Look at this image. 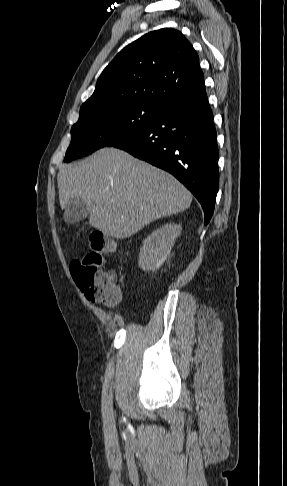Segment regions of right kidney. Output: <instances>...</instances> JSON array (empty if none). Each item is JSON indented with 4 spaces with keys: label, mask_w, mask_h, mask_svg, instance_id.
<instances>
[{
    "label": "right kidney",
    "mask_w": 287,
    "mask_h": 486,
    "mask_svg": "<svg viewBox=\"0 0 287 486\" xmlns=\"http://www.w3.org/2000/svg\"><path fill=\"white\" fill-rule=\"evenodd\" d=\"M181 231V225L168 223L153 231L143 241V246L139 253V267L146 272L159 269L170 254L174 242Z\"/></svg>",
    "instance_id": "1"
}]
</instances>
